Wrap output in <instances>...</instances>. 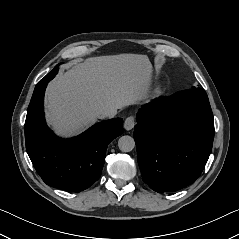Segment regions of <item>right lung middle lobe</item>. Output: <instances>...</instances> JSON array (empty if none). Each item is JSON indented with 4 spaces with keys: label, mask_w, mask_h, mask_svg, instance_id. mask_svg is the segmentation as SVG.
<instances>
[{
    "label": "right lung middle lobe",
    "mask_w": 239,
    "mask_h": 239,
    "mask_svg": "<svg viewBox=\"0 0 239 239\" xmlns=\"http://www.w3.org/2000/svg\"><path fill=\"white\" fill-rule=\"evenodd\" d=\"M58 67H59V64L56 65L55 68L48 75H46L45 77L46 78H48V77L53 78L58 72Z\"/></svg>",
    "instance_id": "obj_1"
}]
</instances>
